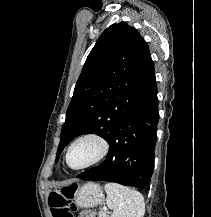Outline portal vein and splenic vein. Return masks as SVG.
I'll use <instances>...</instances> for the list:
<instances>
[{"instance_id": "obj_1", "label": "portal vein and splenic vein", "mask_w": 211, "mask_h": 217, "mask_svg": "<svg viewBox=\"0 0 211 217\" xmlns=\"http://www.w3.org/2000/svg\"><path fill=\"white\" fill-rule=\"evenodd\" d=\"M103 209H105V210H106L107 208L104 206V207H103Z\"/></svg>"}]
</instances>
